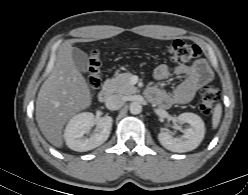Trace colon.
I'll list each match as a JSON object with an SVG mask.
<instances>
[{
    "label": "colon",
    "mask_w": 248,
    "mask_h": 195,
    "mask_svg": "<svg viewBox=\"0 0 248 195\" xmlns=\"http://www.w3.org/2000/svg\"><path fill=\"white\" fill-rule=\"evenodd\" d=\"M167 59L173 63L183 64L197 58L201 49L198 45L177 39L166 47ZM102 58L99 51L90 55L87 69V81L91 90H96L101 84ZM219 91L211 85L202 87L199 96V108L204 115H210L218 100Z\"/></svg>",
    "instance_id": "obj_1"
}]
</instances>
